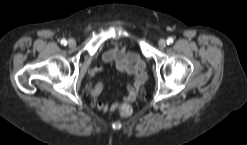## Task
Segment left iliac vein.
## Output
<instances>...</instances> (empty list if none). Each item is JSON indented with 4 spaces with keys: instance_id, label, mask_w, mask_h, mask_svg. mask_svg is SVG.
Segmentation results:
<instances>
[{
    "instance_id": "left-iliac-vein-1",
    "label": "left iliac vein",
    "mask_w": 247,
    "mask_h": 145,
    "mask_svg": "<svg viewBox=\"0 0 247 145\" xmlns=\"http://www.w3.org/2000/svg\"><path fill=\"white\" fill-rule=\"evenodd\" d=\"M166 45H167V43H166V40L165 39H160L159 40V42H158V46L160 47V48H165L166 47Z\"/></svg>"
}]
</instances>
